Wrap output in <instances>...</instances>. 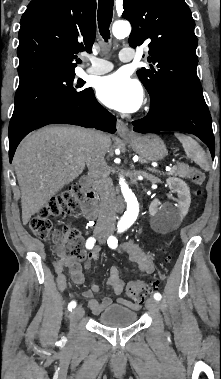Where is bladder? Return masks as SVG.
Instances as JSON below:
<instances>
[{"mask_svg":"<svg viewBox=\"0 0 221 379\" xmlns=\"http://www.w3.org/2000/svg\"><path fill=\"white\" fill-rule=\"evenodd\" d=\"M137 320V312L129 307L114 304L101 312L97 321L106 327H127L134 324Z\"/></svg>","mask_w":221,"mask_h":379,"instance_id":"31cf9c89","label":"bladder"}]
</instances>
